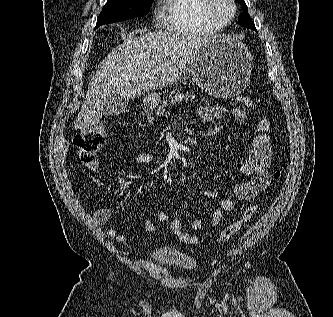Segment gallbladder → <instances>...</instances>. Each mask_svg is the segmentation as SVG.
<instances>
[{"instance_id": "1", "label": "gallbladder", "mask_w": 333, "mask_h": 317, "mask_svg": "<svg viewBox=\"0 0 333 317\" xmlns=\"http://www.w3.org/2000/svg\"><path fill=\"white\" fill-rule=\"evenodd\" d=\"M128 99L121 96H113L103 105L105 115H118L127 108Z\"/></svg>"}]
</instances>
